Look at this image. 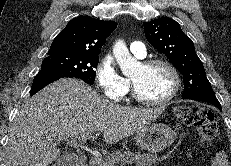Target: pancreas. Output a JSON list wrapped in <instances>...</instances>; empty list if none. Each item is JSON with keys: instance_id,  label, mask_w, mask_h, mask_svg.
Masks as SVG:
<instances>
[{"instance_id": "1", "label": "pancreas", "mask_w": 231, "mask_h": 166, "mask_svg": "<svg viewBox=\"0 0 231 166\" xmlns=\"http://www.w3.org/2000/svg\"><path fill=\"white\" fill-rule=\"evenodd\" d=\"M161 161L162 159L153 154L114 151L106 158H92L86 166H114L118 163H134L136 166H154Z\"/></svg>"}]
</instances>
